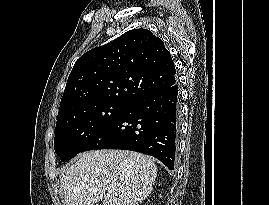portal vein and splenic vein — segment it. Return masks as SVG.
I'll use <instances>...</instances> for the list:
<instances>
[{
	"instance_id": "portal-vein-and-splenic-vein-1",
	"label": "portal vein and splenic vein",
	"mask_w": 269,
	"mask_h": 205,
	"mask_svg": "<svg viewBox=\"0 0 269 205\" xmlns=\"http://www.w3.org/2000/svg\"><path fill=\"white\" fill-rule=\"evenodd\" d=\"M111 191V188H108V192H110Z\"/></svg>"
}]
</instances>
